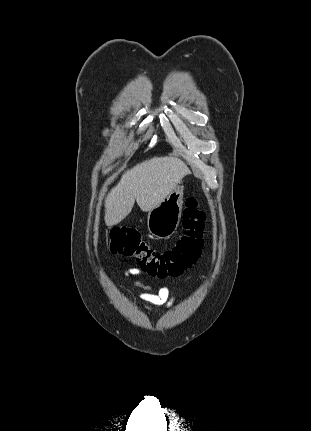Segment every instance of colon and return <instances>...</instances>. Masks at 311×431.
Returning <instances> with one entry per match:
<instances>
[{
    "label": "colon",
    "instance_id": "obj_1",
    "mask_svg": "<svg viewBox=\"0 0 311 431\" xmlns=\"http://www.w3.org/2000/svg\"><path fill=\"white\" fill-rule=\"evenodd\" d=\"M205 214L193 196L185 201L182 233L169 249L156 250L132 228L112 229L108 234V250L133 258L144 272L159 278L177 277L200 257L203 246Z\"/></svg>",
    "mask_w": 311,
    "mask_h": 431
}]
</instances>
